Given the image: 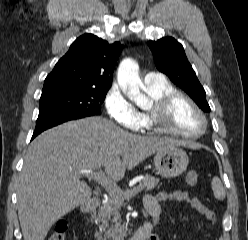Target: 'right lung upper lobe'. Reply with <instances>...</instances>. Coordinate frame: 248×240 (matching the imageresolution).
<instances>
[{
	"mask_svg": "<svg viewBox=\"0 0 248 240\" xmlns=\"http://www.w3.org/2000/svg\"><path fill=\"white\" fill-rule=\"evenodd\" d=\"M121 49L119 42L109 44L93 34L80 36L46 77L42 92L59 88L109 90Z\"/></svg>",
	"mask_w": 248,
	"mask_h": 240,
	"instance_id": "cb5924a9",
	"label": "right lung upper lobe"
}]
</instances>
